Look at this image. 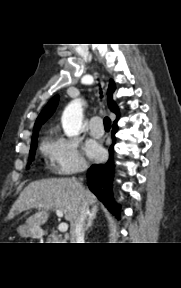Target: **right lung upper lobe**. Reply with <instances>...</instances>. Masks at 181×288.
Listing matches in <instances>:
<instances>
[{
	"label": "right lung upper lobe",
	"instance_id": "cb5924a9",
	"mask_svg": "<svg viewBox=\"0 0 181 288\" xmlns=\"http://www.w3.org/2000/svg\"><path fill=\"white\" fill-rule=\"evenodd\" d=\"M115 90V83L114 81L111 79L110 83H109V88H108V105L109 108L117 115V119L114 121V124H117V120L119 118V111H118V107L115 104V102L112 100V93ZM58 100L59 97L55 96L53 97L48 104L45 106V108L42 110V112L40 113V115L38 116L35 125H34V129H33V137H32V141L37 140V136H38V131L41 127V125L53 114V112L56 109V106L58 104Z\"/></svg>",
	"mask_w": 181,
	"mask_h": 288
}]
</instances>
